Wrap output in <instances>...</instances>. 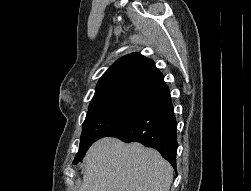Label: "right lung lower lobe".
Instances as JSON below:
<instances>
[{
  "instance_id": "1",
  "label": "right lung lower lobe",
  "mask_w": 251,
  "mask_h": 191,
  "mask_svg": "<svg viewBox=\"0 0 251 191\" xmlns=\"http://www.w3.org/2000/svg\"><path fill=\"white\" fill-rule=\"evenodd\" d=\"M106 137H115L124 142H140L160 152L176 171V118L170 92L163 94L141 109L125 124Z\"/></svg>"
}]
</instances>
